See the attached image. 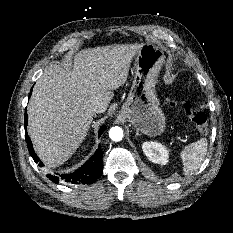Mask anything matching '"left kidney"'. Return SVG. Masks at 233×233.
Instances as JSON below:
<instances>
[{"label":"left kidney","instance_id":"1","mask_svg":"<svg viewBox=\"0 0 233 233\" xmlns=\"http://www.w3.org/2000/svg\"><path fill=\"white\" fill-rule=\"evenodd\" d=\"M143 152L153 163L166 165L168 163L169 153L167 148L157 142H144Z\"/></svg>","mask_w":233,"mask_h":233}]
</instances>
